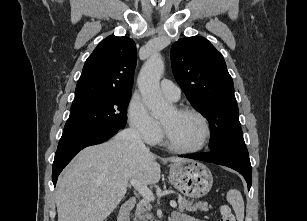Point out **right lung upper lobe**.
Instances as JSON below:
<instances>
[{
	"instance_id": "right-lung-upper-lobe-1",
	"label": "right lung upper lobe",
	"mask_w": 307,
	"mask_h": 221,
	"mask_svg": "<svg viewBox=\"0 0 307 221\" xmlns=\"http://www.w3.org/2000/svg\"><path fill=\"white\" fill-rule=\"evenodd\" d=\"M136 60L132 39L114 35L105 38L86 60L73 102L111 93H131Z\"/></svg>"
}]
</instances>
